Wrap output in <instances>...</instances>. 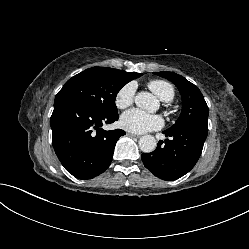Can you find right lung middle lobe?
I'll return each instance as SVG.
<instances>
[{
  "label": "right lung middle lobe",
  "instance_id": "dd1d6c3e",
  "mask_svg": "<svg viewBox=\"0 0 249 249\" xmlns=\"http://www.w3.org/2000/svg\"><path fill=\"white\" fill-rule=\"evenodd\" d=\"M129 81L124 71L92 67L69 79L56 98H69L97 114L112 115L118 113L117 93Z\"/></svg>",
  "mask_w": 249,
  "mask_h": 249
}]
</instances>
